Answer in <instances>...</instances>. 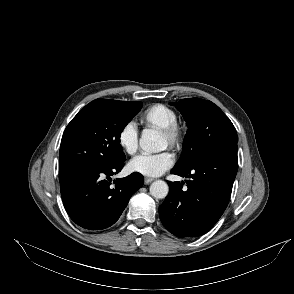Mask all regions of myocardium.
Wrapping results in <instances>:
<instances>
[{"instance_id": "myocardium-1", "label": "myocardium", "mask_w": 294, "mask_h": 294, "mask_svg": "<svg viewBox=\"0 0 294 294\" xmlns=\"http://www.w3.org/2000/svg\"><path fill=\"white\" fill-rule=\"evenodd\" d=\"M168 145L174 149H180L185 140V130L179 123H174L160 130Z\"/></svg>"}]
</instances>
